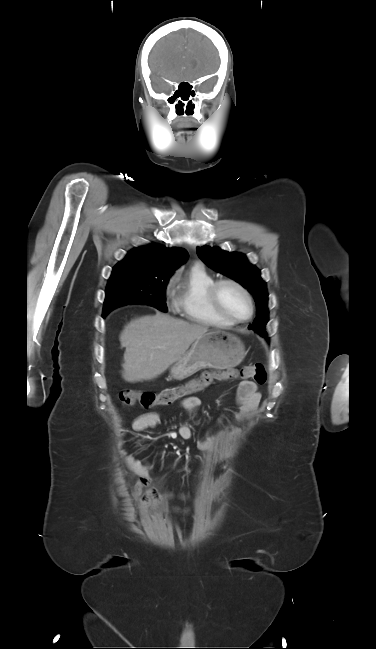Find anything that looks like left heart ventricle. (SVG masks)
<instances>
[{
  "mask_svg": "<svg viewBox=\"0 0 376 649\" xmlns=\"http://www.w3.org/2000/svg\"><path fill=\"white\" fill-rule=\"evenodd\" d=\"M222 303L226 310L236 318H245L249 314V305L244 295L231 285H224L220 290Z\"/></svg>",
  "mask_w": 376,
  "mask_h": 649,
  "instance_id": "left-heart-ventricle-1",
  "label": "left heart ventricle"
}]
</instances>
